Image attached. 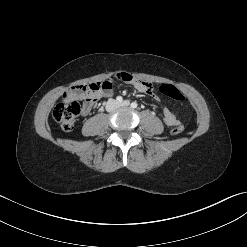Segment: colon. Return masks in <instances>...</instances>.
<instances>
[{
  "mask_svg": "<svg viewBox=\"0 0 247 247\" xmlns=\"http://www.w3.org/2000/svg\"><path fill=\"white\" fill-rule=\"evenodd\" d=\"M112 88V80L105 79L95 83L79 86L73 93L67 94L54 108L53 118L61 126L64 131H71L77 121L80 114L81 107L76 99L75 92H81L89 102H95L100 95ZM159 91L175 100L184 101L183 94L171 84H163L159 87ZM183 131L182 125H177L172 128L171 133L173 135H179Z\"/></svg>",
  "mask_w": 247,
  "mask_h": 247,
  "instance_id": "1",
  "label": "colon"
}]
</instances>
